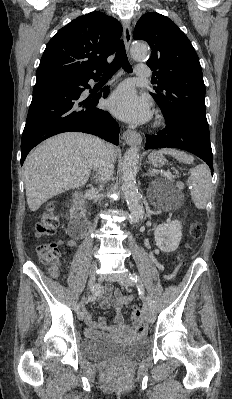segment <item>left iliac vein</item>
I'll list each match as a JSON object with an SVG mask.
<instances>
[{"label":"left iliac vein","instance_id":"obj_1","mask_svg":"<svg viewBox=\"0 0 232 399\" xmlns=\"http://www.w3.org/2000/svg\"><path fill=\"white\" fill-rule=\"evenodd\" d=\"M119 285H121V286H136L137 282L131 281V278H120ZM154 321H155V313L153 310H149L147 323H154Z\"/></svg>","mask_w":232,"mask_h":399}]
</instances>
